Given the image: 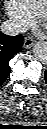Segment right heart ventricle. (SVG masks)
<instances>
[{"mask_svg": "<svg viewBox=\"0 0 47 129\" xmlns=\"http://www.w3.org/2000/svg\"><path fill=\"white\" fill-rule=\"evenodd\" d=\"M19 1L27 9V11L35 17L42 8L46 0H19Z\"/></svg>", "mask_w": 47, "mask_h": 129, "instance_id": "e07e8e85", "label": "right heart ventricle"}]
</instances>
